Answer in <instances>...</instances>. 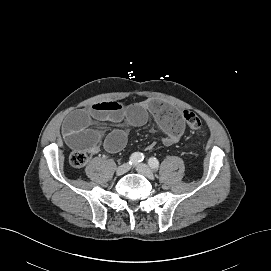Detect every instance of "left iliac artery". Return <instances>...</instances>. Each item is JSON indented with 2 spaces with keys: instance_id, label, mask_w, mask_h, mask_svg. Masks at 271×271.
<instances>
[{
  "instance_id": "left-iliac-artery-1",
  "label": "left iliac artery",
  "mask_w": 271,
  "mask_h": 271,
  "mask_svg": "<svg viewBox=\"0 0 271 271\" xmlns=\"http://www.w3.org/2000/svg\"><path fill=\"white\" fill-rule=\"evenodd\" d=\"M148 164L152 169H158L159 168V161L152 157L148 160Z\"/></svg>"
}]
</instances>
